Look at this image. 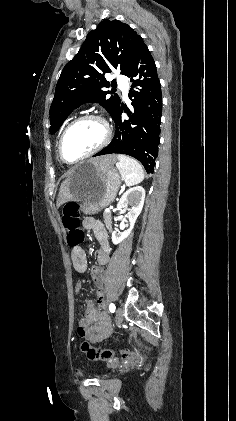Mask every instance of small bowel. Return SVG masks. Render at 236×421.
Returning a JSON list of instances; mask_svg holds the SVG:
<instances>
[{
    "instance_id": "1",
    "label": "small bowel",
    "mask_w": 236,
    "mask_h": 421,
    "mask_svg": "<svg viewBox=\"0 0 236 421\" xmlns=\"http://www.w3.org/2000/svg\"><path fill=\"white\" fill-rule=\"evenodd\" d=\"M83 228L87 229V230H91L93 231L94 235L96 236V238L102 242L105 243L107 240V231L104 227V225L98 221L97 219L93 218V217H87L83 220ZM76 258V264L77 266L81 269L84 270L86 268V257H85V253L82 249L78 250V254L75 257ZM80 289V285H77V290ZM99 321L101 324V335L98 337L95 336H88V338L90 340H92L93 342H98L101 341L103 339H105L106 337H108L111 333V325L109 323V321L107 320V318L105 317V315L101 314L99 316ZM82 325L84 324V322L82 321L81 323Z\"/></svg>"
}]
</instances>
